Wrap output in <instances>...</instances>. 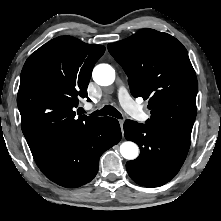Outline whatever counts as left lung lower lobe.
<instances>
[{
    "label": "left lung lower lobe",
    "mask_w": 221,
    "mask_h": 221,
    "mask_svg": "<svg viewBox=\"0 0 221 221\" xmlns=\"http://www.w3.org/2000/svg\"><path fill=\"white\" fill-rule=\"evenodd\" d=\"M124 135L140 147L139 157L126 163L127 172L137 184L146 187L169 182L180 170L190 147V140L131 120L124 123Z\"/></svg>",
    "instance_id": "left-lung-lower-lobe-1"
}]
</instances>
